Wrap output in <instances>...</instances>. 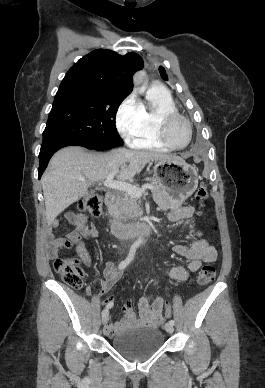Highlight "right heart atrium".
<instances>
[{
  "mask_svg": "<svg viewBox=\"0 0 265 388\" xmlns=\"http://www.w3.org/2000/svg\"><path fill=\"white\" fill-rule=\"evenodd\" d=\"M141 120V103L134 95H130L123 101L117 114L119 131L124 139L130 140L139 131Z\"/></svg>",
  "mask_w": 265,
  "mask_h": 388,
  "instance_id": "obj_1",
  "label": "right heart atrium"
}]
</instances>
